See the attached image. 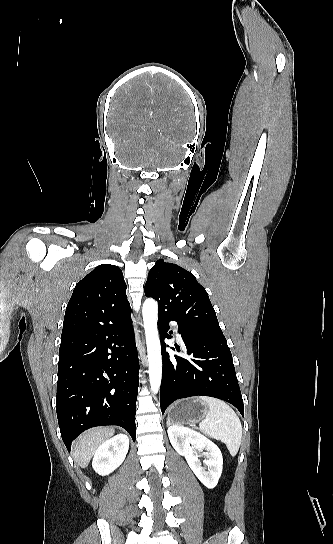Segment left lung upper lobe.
I'll list each match as a JSON object with an SVG mask.
<instances>
[{"instance_id":"left-lung-upper-lobe-1","label":"left lung upper lobe","mask_w":333,"mask_h":544,"mask_svg":"<svg viewBox=\"0 0 333 544\" xmlns=\"http://www.w3.org/2000/svg\"><path fill=\"white\" fill-rule=\"evenodd\" d=\"M145 295L178 324L223 335L206 290L182 267L159 259L148 273Z\"/></svg>"}]
</instances>
